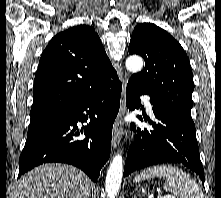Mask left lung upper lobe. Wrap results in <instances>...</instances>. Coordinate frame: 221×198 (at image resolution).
<instances>
[{
	"mask_svg": "<svg viewBox=\"0 0 221 198\" xmlns=\"http://www.w3.org/2000/svg\"><path fill=\"white\" fill-rule=\"evenodd\" d=\"M128 51L145 59L143 71L132 75L129 82L145 91L170 114L194 125L190 114L193 75L181 45L155 24L140 23L132 33Z\"/></svg>",
	"mask_w": 221,
	"mask_h": 198,
	"instance_id": "5c2ea615",
	"label": "left lung upper lobe"
}]
</instances>
